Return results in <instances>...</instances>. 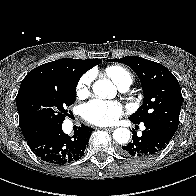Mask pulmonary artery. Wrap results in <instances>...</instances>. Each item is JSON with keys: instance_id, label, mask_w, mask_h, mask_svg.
Wrapping results in <instances>:
<instances>
[{"instance_id": "obj_1", "label": "pulmonary artery", "mask_w": 196, "mask_h": 196, "mask_svg": "<svg viewBox=\"0 0 196 196\" xmlns=\"http://www.w3.org/2000/svg\"><path fill=\"white\" fill-rule=\"evenodd\" d=\"M129 86H130V84H124V85L120 86V89L122 91H126L129 88Z\"/></svg>"}]
</instances>
